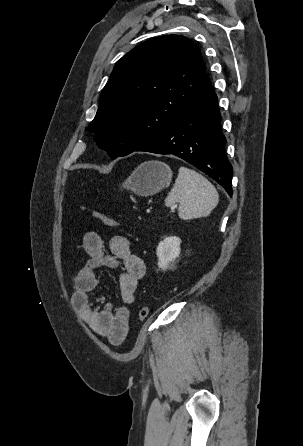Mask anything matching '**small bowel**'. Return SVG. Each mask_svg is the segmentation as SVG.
<instances>
[{"instance_id":"1","label":"small bowel","mask_w":303,"mask_h":446,"mask_svg":"<svg viewBox=\"0 0 303 446\" xmlns=\"http://www.w3.org/2000/svg\"><path fill=\"white\" fill-rule=\"evenodd\" d=\"M87 260L72 278V303L83 321L96 334L105 337L113 345H121L129 330V308L135 302V292L139 281L144 277V261L131 252L129 240L124 236H114L106 251L103 239L89 231L78 246ZM102 267L119 269L121 305L114 309L105 303L103 297H92L97 288L96 270Z\"/></svg>"}]
</instances>
